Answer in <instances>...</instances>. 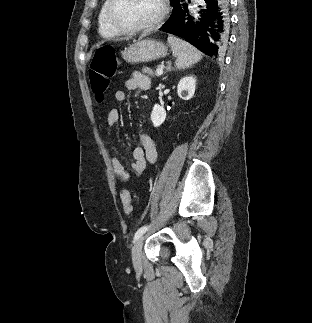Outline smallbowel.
Listing matches in <instances>:
<instances>
[{"label":"small bowel","instance_id":"small-bowel-1","mask_svg":"<svg viewBox=\"0 0 312 323\" xmlns=\"http://www.w3.org/2000/svg\"><path fill=\"white\" fill-rule=\"evenodd\" d=\"M125 87L129 91L138 89L147 90L150 87V79L148 76L141 72H134L132 77L126 81ZM127 95L124 90H117L114 92V100L122 104L126 101ZM121 119V113L118 109H112L107 116V134L112 135L115 126ZM141 145L133 148L132 150V171L133 173L142 174L147 166V163H155L158 158L157 149L154 141L146 134L140 135ZM110 163L113 173L122 181H128L130 173L125 169L120 160L112 155Z\"/></svg>","mask_w":312,"mask_h":323}]
</instances>
